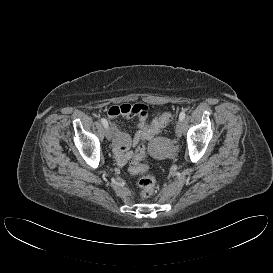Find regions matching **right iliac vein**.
<instances>
[{"instance_id": "63e3f726", "label": "right iliac vein", "mask_w": 273, "mask_h": 273, "mask_svg": "<svg viewBox=\"0 0 273 273\" xmlns=\"http://www.w3.org/2000/svg\"><path fill=\"white\" fill-rule=\"evenodd\" d=\"M105 136L108 141L112 139V132L109 126L105 128Z\"/></svg>"}]
</instances>
